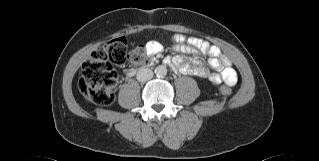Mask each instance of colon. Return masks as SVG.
Segmentation results:
<instances>
[{
    "label": "colon",
    "mask_w": 319,
    "mask_h": 161,
    "mask_svg": "<svg viewBox=\"0 0 319 161\" xmlns=\"http://www.w3.org/2000/svg\"><path fill=\"white\" fill-rule=\"evenodd\" d=\"M159 46L156 45L149 52L144 47L128 52L127 41L124 37H114L94 51L82 66L81 77L78 87L82 94L100 105H109L115 99V87L117 73L113 65L122 66L128 62L141 63L146 56L157 53ZM220 92L230 95L232 89L228 85H222Z\"/></svg>",
    "instance_id": "5ec220e1"
}]
</instances>
